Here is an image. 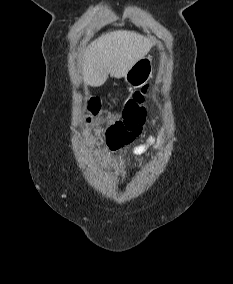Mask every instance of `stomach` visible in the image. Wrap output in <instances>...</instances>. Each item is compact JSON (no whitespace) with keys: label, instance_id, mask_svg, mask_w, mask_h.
Returning <instances> with one entry per match:
<instances>
[{"label":"stomach","instance_id":"1","mask_svg":"<svg viewBox=\"0 0 233 284\" xmlns=\"http://www.w3.org/2000/svg\"><path fill=\"white\" fill-rule=\"evenodd\" d=\"M152 57L138 60L125 75L126 83L133 88H140L152 77Z\"/></svg>","mask_w":233,"mask_h":284}]
</instances>
